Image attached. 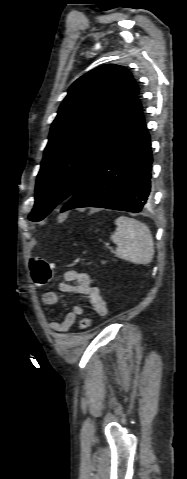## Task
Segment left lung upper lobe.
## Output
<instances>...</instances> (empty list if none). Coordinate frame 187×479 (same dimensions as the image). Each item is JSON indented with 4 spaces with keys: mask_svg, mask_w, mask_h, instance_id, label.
I'll use <instances>...</instances> for the list:
<instances>
[{
    "mask_svg": "<svg viewBox=\"0 0 187 479\" xmlns=\"http://www.w3.org/2000/svg\"><path fill=\"white\" fill-rule=\"evenodd\" d=\"M139 94L131 73L108 64L78 78L52 123L35 188L31 221L69 199L119 136Z\"/></svg>",
    "mask_w": 187,
    "mask_h": 479,
    "instance_id": "left-lung-upper-lobe-1",
    "label": "left lung upper lobe"
}]
</instances>
